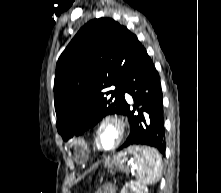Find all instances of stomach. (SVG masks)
Wrapping results in <instances>:
<instances>
[{
	"label": "stomach",
	"instance_id": "0dacf381",
	"mask_svg": "<svg viewBox=\"0 0 221 193\" xmlns=\"http://www.w3.org/2000/svg\"><path fill=\"white\" fill-rule=\"evenodd\" d=\"M84 142H71V147L66 150V155H72V159H78L77 163L80 167H87L88 163L85 159H88L90 150H83Z\"/></svg>",
	"mask_w": 221,
	"mask_h": 193
}]
</instances>
